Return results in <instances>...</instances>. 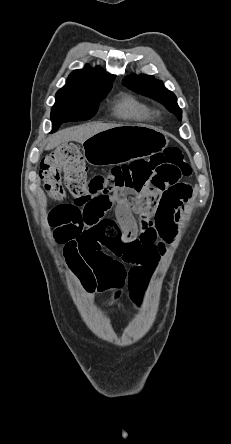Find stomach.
<instances>
[{"mask_svg": "<svg viewBox=\"0 0 231 444\" xmlns=\"http://www.w3.org/2000/svg\"><path fill=\"white\" fill-rule=\"evenodd\" d=\"M168 143L165 133L153 126H119L85 140L83 158L92 165L123 164L161 152Z\"/></svg>", "mask_w": 231, "mask_h": 444, "instance_id": "0dacf381", "label": "stomach"}]
</instances>
